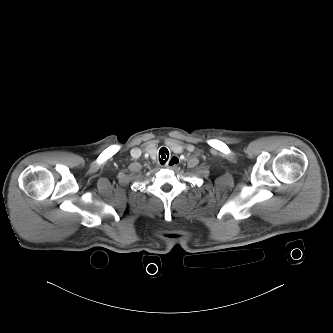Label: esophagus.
Segmentation results:
<instances>
[{
  "instance_id": "esophagus-1",
  "label": "esophagus",
  "mask_w": 333,
  "mask_h": 333,
  "mask_svg": "<svg viewBox=\"0 0 333 333\" xmlns=\"http://www.w3.org/2000/svg\"><path fill=\"white\" fill-rule=\"evenodd\" d=\"M179 158L176 155L170 157L166 162L165 167L170 169H175L178 166Z\"/></svg>"
}]
</instances>
